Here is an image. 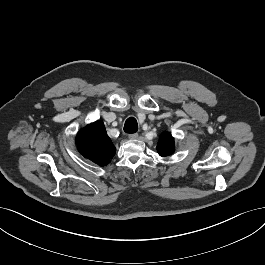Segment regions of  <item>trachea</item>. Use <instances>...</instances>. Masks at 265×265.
I'll use <instances>...</instances> for the list:
<instances>
[{
    "instance_id": "obj_1",
    "label": "trachea",
    "mask_w": 265,
    "mask_h": 265,
    "mask_svg": "<svg viewBox=\"0 0 265 265\" xmlns=\"http://www.w3.org/2000/svg\"><path fill=\"white\" fill-rule=\"evenodd\" d=\"M138 130V124L137 121L134 117H130L125 121V125H124V131L126 133H130L133 134L135 132H137Z\"/></svg>"
}]
</instances>
